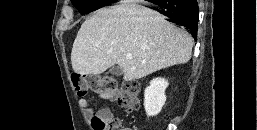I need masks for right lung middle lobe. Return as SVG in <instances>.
<instances>
[{
    "instance_id": "dd1d6c3e",
    "label": "right lung middle lobe",
    "mask_w": 257,
    "mask_h": 130,
    "mask_svg": "<svg viewBox=\"0 0 257 130\" xmlns=\"http://www.w3.org/2000/svg\"><path fill=\"white\" fill-rule=\"evenodd\" d=\"M72 3L81 14H87L98 7L108 4L109 2L106 0H72Z\"/></svg>"
}]
</instances>
